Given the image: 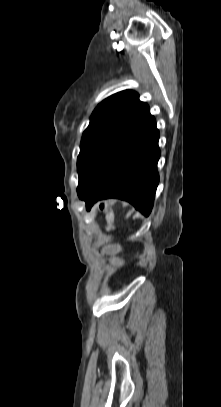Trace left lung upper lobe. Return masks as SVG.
I'll list each match as a JSON object with an SVG mask.
<instances>
[{
    "label": "left lung upper lobe",
    "mask_w": 221,
    "mask_h": 407,
    "mask_svg": "<svg viewBox=\"0 0 221 407\" xmlns=\"http://www.w3.org/2000/svg\"><path fill=\"white\" fill-rule=\"evenodd\" d=\"M144 104L136 92L125 90L106 98L95 108L81 139L77 191Z\"/></svg>",
    "instance_id": "1"
}]
</instances>
